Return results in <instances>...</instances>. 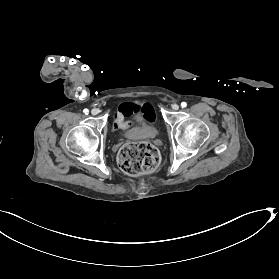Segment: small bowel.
Segmentation results:
<instances>
[{"mask_svg": "<svg viewBox=\"0 0 279 279\" xmlns=\"http://www.w3.org/2000/svg\"><path fill=\"white\" fill-rule=\"evenodd\" d=\"M135 110H141L144 113V116L148 119L153 121L155 118L154 110L152 106L148 103L143 104H133V103H124L119 106L114 119L113 128L115 130L118 129H126L129 127L136 126V122L126 121V117L132 114Z\"/></svg>", "mask_w": 279, "mask_h": 279, "instance_id": "c3829d8e", "label": "small bowel"}]
</instances>
